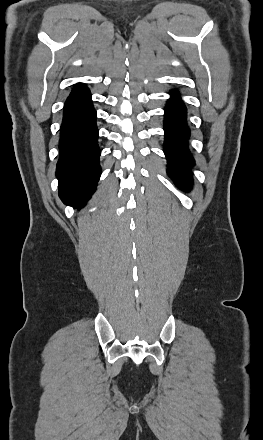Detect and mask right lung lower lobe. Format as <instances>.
Here are the masks:
<instances>
[{"mask_svg": "<svg viewBox=\"0 0 263 440\" xmlns=\"http://www.w3.org/2000/svg\"><path fill=\"white\" fill-rule=\"evenodd\" d=\"M96 111L88 88L77 84L65 102L56 176L66 205L82 208L96 189L99 165Z\"/></svg>", "mask_w": 263, "mask_h": 440, "instance_id": "obj_1", "label": "right lung lower lobe"}]
</instances>
